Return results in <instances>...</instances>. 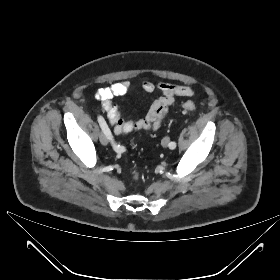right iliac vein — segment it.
I'll return each instance as SVG.
<instances>
[{"instance_id": "right-iliac-vein-1", "label": "right iliac vein", "mask_w": 280, "mask_h": 280, "mask_svg": "<svg viewBox=\"0 0 280 280\" xmlns=\"http://www.w3.org/2000/svg\"><path fill=\"white\" fill-rule=\"evenodd\" d=\"M99 141L102 145L106 146L108 144V138L106 137V135L104 133H101L99 136Z\"/></svg>"}]
</instances>
